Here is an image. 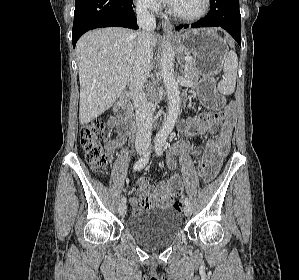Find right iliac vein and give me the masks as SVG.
Here are the masks:
<instances>
[{"mask_svg":"<svg viewBox=\"0 0 299 280\" xmlns=\"http://www.w3.org/2000/svg\"><path fill=\"white\" fill-rule=\"evenodd\" d=\"M142 151H140V153H141ZM126 211H127V206H126V204L125 203H121L120 205H119V213H120V215L121 216H124L125 214H126Z\"/></svg>","mask_w":299,"mask_h":280,"instance_id":"63e3f726","label":"right iliac vein"}]
</instances>
